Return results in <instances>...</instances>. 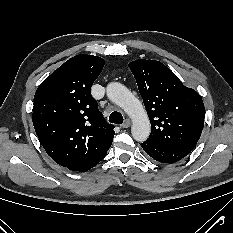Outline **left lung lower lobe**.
Here are the masks:
<instances>
[{
    "instance_id": "1",
    "label": "left lung lower lobe",
    "mask_w": 233,
    "mask_h": 233,
    "mask_svg": "<svg viewBox=\"0 0 233 233\" xmlns=\"http://www.w3.org/2000/svg\"><path fill=\"white\" fill-rule=\"evenodd\" d=\"M141 146L150 157L161 163H174L189 154L186 151L160 145L149 140L141 143Z\"/></svg>"
}]
</instances>
